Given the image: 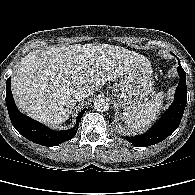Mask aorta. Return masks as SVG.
I'll use <instances>...</instances> for the list:
<instances>
[{"label":"aorta","mask_w":195,"mask_h":195,"mask_svg":"<svg viewBox=\"0 0 195 195\" xmlns=\"http://www.w3.org/2000/svg\"><path fill=\"white\" fill-rule=\"evenodd\" d=\"M110 105L107 100L99 98L94 102V109L99 112H105L109 109Z\"/></svg>","instance_id":"obj_1"}]
</instances>
